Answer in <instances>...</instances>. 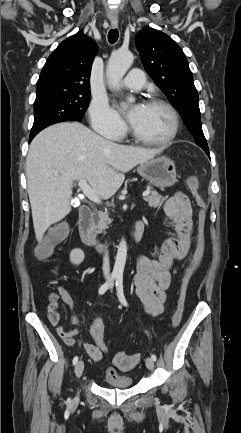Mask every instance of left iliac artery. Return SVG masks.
I'll return each instance as SVG.
<instances>
[{"label": "left iliac artery", "instance_id": "obj_1", "mask_svg": "<svg viewBox=\"0 0 241 433\" xmlns=\"http://www.w3.org/2000/svg\"><path fill=\"white\" fill-rule=\"evenodd\" d=\"M116 289H117V295H118L119 301L124 306L127 307L128 306V302H127V300L125 298V295H124V291H123V277L121 275L117 276V279H116ZM151 358H152L153 361H156V359H157L156 355H154V354L151 356Z\"/></svg>", "mask_w": 241, "mask_h": 433}]
</instances>
